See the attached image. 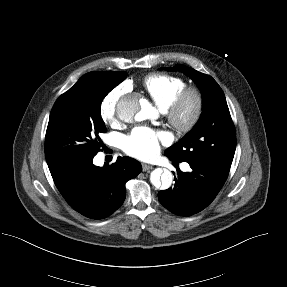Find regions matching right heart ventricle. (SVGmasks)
<instances>
[{
	"instance_id": "obj_1",
	"label": "right heart ventricle",
	"mask_w": 287,
	"mask_h": 287,
	"mask_svg": "<svg viewBox=\"0 0 287 287\" xmlns=\"http://www.w3.org/2000/svg\"><path fill=\"white\" fill-rule=\"evenodd\" d=\"M142 85L154 102L161 109H166L178 93L185 88L186 83L179 76L154 73L147 75Z\"/></svg>"
}]
</instances>
